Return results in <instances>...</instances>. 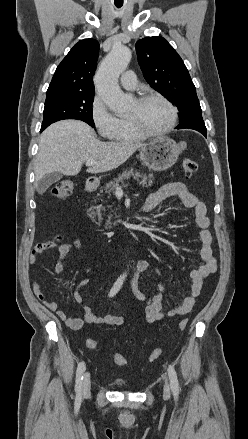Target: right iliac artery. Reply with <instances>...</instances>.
Returning <instances> with one entry per match:
<instances>
[{"instance_id":"1","label":"right iliac artery","mask_w":248,"mask_h":439,"mask_svg":"<svg viewBox=\"0 0 248 439\" xmlns=\"http://www.w3.org/2000/svg\"><path fill=\"white\" fill-rule=\"evenodd\" d=\"M124 278H125V276L123 275L117 279V281L115 282V284L113 285V287L110 290L109 297H113L120 290V288L123 284ZM84 371H85V363L80 362L78 364L77 371H76V385H75V391L77 392L78 395H80L81 391H82V380H83Z\"/></svg>"}]
</instances>
